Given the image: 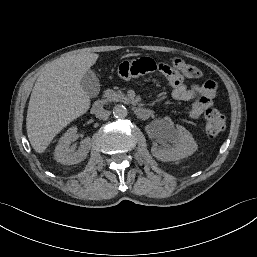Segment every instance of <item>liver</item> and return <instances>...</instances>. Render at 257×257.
I'll list each match as a JSON object with an SVG mask.
<instances>
[{
  "mask_svg": "<svg viewBox=\"0 0 257 257\" xmlns=\"http://www.w3.org/2000/svg\"><path fill=\"white\" fill-rule=\"evenodd\" d=\"M99 55L82 53L51 62L39 75L29 100L26 129L33 149L43 153L53 138L90 108L82 77Z\"/></svg>",
  "mask_w": 257,
  "mask_h": 257,
  "instance_id": "1",
  "label": "liver"
}]
</instances>
